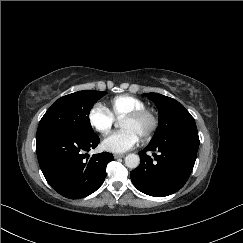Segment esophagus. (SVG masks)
<instances>
[{"instance_id":"esophagus-1","label":"esophagus","mask_w":243,"mask_h":243,"mask_svg":"<svg viewBox=\"0 0 243 243\" xmlns=\"http://www.w3.org/2000/svg\"><path fill=\"white\" fill-rule=\"evenodd\" d=\"M123 157H125V154H114L115 159L123 158Z\"/></svg>"}]
</instances>
